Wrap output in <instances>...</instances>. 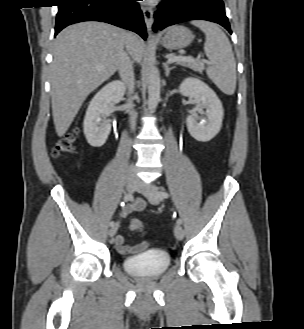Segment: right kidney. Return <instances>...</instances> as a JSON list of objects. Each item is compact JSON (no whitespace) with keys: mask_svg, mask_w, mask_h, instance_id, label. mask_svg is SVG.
Masks as SVG:
<instances>
[{"mask_svg":"<svg viewBox=\"0 0 304 329\" xmlns=\"http://www.w3.org/2000/svg\"><path fill=\"white\" fill-rule=\"evenodd\" d=\"M125 86L120 81H112L96 93L87 108L83 122L87 142L93 147L105 144L111 131V124L106 119L111 103H119L123 98Z\"/></svg>","mask_w":304,"mask_h":329,"instance_id":"ca27d5eb","label":"right kidney"}]
</instances>
